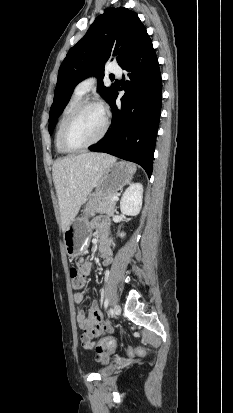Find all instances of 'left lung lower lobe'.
I'll return each instance as SVG.
<instances>
[{"label":"left lung lower lobe","mask_w":233,"mask_h":413,"mask_svg":"<svg viewBox=\"0 0 233 413\" xmlns=\"http://www.w3.org/2000/svg\"><path fill=\"white\" fill-rule=\"evenodd\" d=\"M120 67L127 72L120 89L125 90L122 105L120 108L115 105L118 93L114 89L109 100L113 114L111 127L90 150L135 162L150 177L161 113L162 80L148 35Z\"/></svg>","instance_id":"obj_1"}]
</instances>
